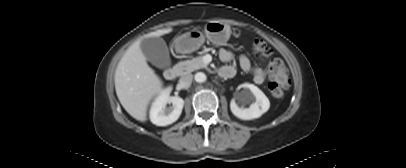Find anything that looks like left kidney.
<instances>
[{"label":"left kidney","instance_id":"5707ae66","mask_svg":"<svg viewBox=\"0 0 406 168\" xmlns=\"http://www.w3.org/2000/svg\"><path fill=\"white\" fill-rule=\"evenodd\" d=\"M244 88L243 97L248 101L252 102L249 108H240L234 99L230 103L231 112L239 119L242 120H252L261 117L266 113L270 107L269 99L266 95L255 85L244 83L242 86Z\"/></svg>","mask_w":406,"mask_h":168}]
</instances>
